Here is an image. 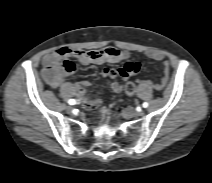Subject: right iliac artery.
I'll return each mask as SVG.
<instances>
[{
    "instance_id": "right-iliac-artery-1",
    "label": "right iliac artery",
    "mask_w": 212,
    "mask_h": 183,
    "mask_svg": "<svg viewBox=\"0 0 212 183\" xmlns=\"http://www.w3.org/2000/svg\"><path fill=\"white\" fill-rule=\"evenodd\" d=\"M68 103H69L70 105H75V104H76V100L70 99V100L68 101Z\"/></svg>"
}]
</instances>
